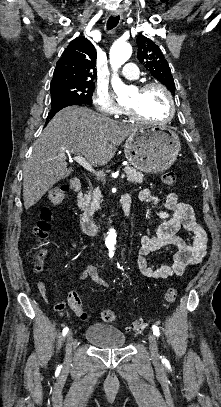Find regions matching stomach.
Instances as JSON below:
<instances>
[{
	"instance_id": "0dacf381",
	"label": "stomach",
	"mask_w": 221,
	"mask_h": 407,
	"mask_svg": "<svg viewBox=\"0 0 221 407\" xmlns=\"http://www.w3.org/2000/svg\"><path fill=\"white\" fill-rule=\"evenodd\" d=\"M178 135L167 127H138L127 138L124 152L136 169L157 174L171 167L180 151Z\"/></svg>"
}]
</instances>
